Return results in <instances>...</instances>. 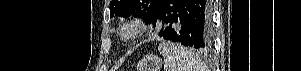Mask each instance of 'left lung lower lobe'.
<instances>
[{
  "instance_id": "0a47b994",
  "label": "left lung lower lobe",
  "mask_w": 301,
  "mask_h": 71,
  "mask_svg": "<svg viewBox=\"0 0 301 71\" xmlns=\"http://www.w3.org/2000/svg\"><path fill=\"white\" fill-rule=\"evenodd\" d=\"M158 19L160 37L200 50L211 46L210 0H162L148 22L155 26Z\"/></svg>"
}]
</instances>
